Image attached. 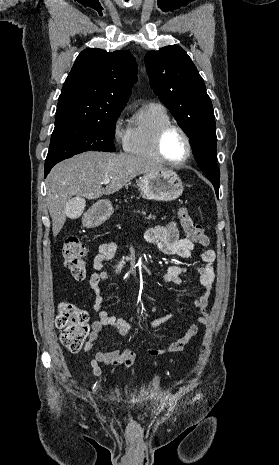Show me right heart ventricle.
Instances as JSON below:
<instances>
[{
	"label": "right heart ventricle",
	"mask_w": 279,
	"mask_h": 465,
	"mask_svg": "<svg viewBox=\"0 0 279 465\" xmlns=\"http://www.w3.org/2000/svg\"><path fill=\"white\" fill-rule=\"evenodd\" d=\"M172 123L167 109L158 103H150L140 108L131 121L124 150L135 157L162 162L155 149V138L159 129Z\"/></svg>",
	"instance_id": "obj_1"
}]
</instances>
